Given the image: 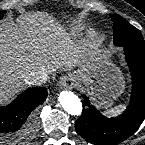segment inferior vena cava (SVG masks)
<instances>
[{"label": "inferior vena cava", "mask_w": 145, "mask_h": 145, "mask_svg": "<svg viewBox=\"0 0 145 145\" xmlns=\"http://www.w3.org/2000/svg\"><path fill=\"white\" fill-rule=\"evenodd\" d=\"M47 73L44 71H34L25 77V81L33 85H41L47 81Z\"/></svg>", "instance_id": "obj_1"}]
</instances>
